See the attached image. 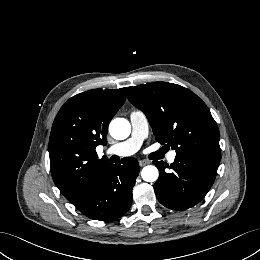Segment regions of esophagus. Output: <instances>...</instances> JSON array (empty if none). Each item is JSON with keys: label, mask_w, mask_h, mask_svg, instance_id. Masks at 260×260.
I'll list each match as a JSON object with an SVG mask.
<instances>
[{"label": "esophagus", "mask_w": 260, "mask_h": 260, "mask_svg": "<svg viewBox=\"0 0 260 260\" xmlns=\"http://www.w3.org/2000/svg\"><path fill=\"white\" fill-rule=\"evenodd\" d=\"M147 164H150V162H149L148 160H140V161H139L140 167H143V166H145V165H147Z\"/></svg>", "instance_id": "obj_1"}]
</instances>
